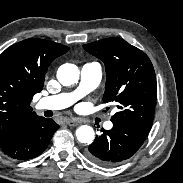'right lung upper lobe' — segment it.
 Returning a JSON list of instances; mask_svg holds the SVG:
<instances>
[{"instance_id": "right-lung-upper-lobe-1", "label": "right lung upper lobe", "mask_w": 183, "mask_h": 183, "mask_svg": "<svg viewBox=\"0 0 183 183\" xmlns=\"http://www.w3.org/2000/svg\"><path fill=\"white\" fill-rule=\"evenodd\" d=\"M68 50L52 41L27 39L0 55V144L19 122L36 115L32 98L42 90L48 66Z\"/></svg>"}]
</instances>
